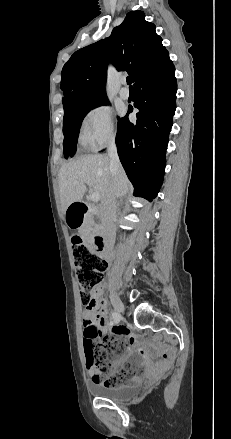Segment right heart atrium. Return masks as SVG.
Masks as SVG:
<instances>
[{"mask_svg": "<svg viewBox=\"0 0 231 439\" xmlns=\"http://www.w3.org/2000/svg\"><path fill=\"white\" fill-rule=\"evenodd\" d=\"M116 129L111 109L104 104H97L85 114L81 124V140L92 149H99L113 143Z\"/></svg>", "mask_w": 231, "mask_h": 439, "instance_id": "right-heart-atrium-1", "label": "right heart atrium"}]
</instances>
